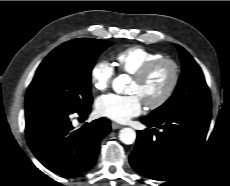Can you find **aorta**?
I'll use <instances>...</instances> for the list:
<instances>
[{"mask_svg": "<svg viewBox=\"0 0 230 186\" xmlns=\"http://www.w3.org/2000/svg\"><path fill=\"white\" fill-rule=\"evenodd\" d=\"M125 83H126V76L120 75L114 79L113 89L116 92L121 93L125 87ZM119 139L124 144H132L136 140V132L132 128L125 127L120 130Z\"/></svg>", "mask_w": 230, "mask_h": 186, "instance_id": "aorta-1", "label": "aorta"}]
</instances>
